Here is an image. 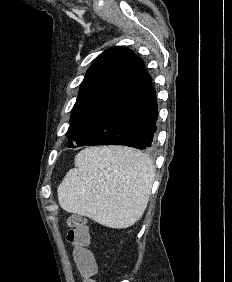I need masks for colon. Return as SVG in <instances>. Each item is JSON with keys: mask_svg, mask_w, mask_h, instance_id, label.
Listing matches in <instances>:
<instances>
[{"mask_svg": "<svg viewBox=\"0 0 232 282\" xmlns=\"http://www.w3.org/2000/svg\"><path fill=\"white\" fill-rule=\"evenodd\" d=\"M69 230L66 235L68 243L73 247V255L77 266L85 278L84 282H95L96 273L94 257L89 250L90 233L86 219L73 215L68 219Z\"/></svg>", "mask_w": 232, "mask_h": 282, "instance_id": "1", "label": "colon"}]
</instances>
